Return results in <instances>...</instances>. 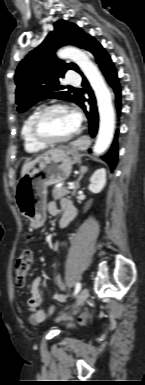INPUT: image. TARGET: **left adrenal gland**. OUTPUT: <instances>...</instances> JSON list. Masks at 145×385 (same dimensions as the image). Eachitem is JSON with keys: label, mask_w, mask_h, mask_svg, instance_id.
<instances>
[{"label": "left adrenal gland", "mask_w": 145, "mask_h": 385, "mask_svg": "<svg viewBox=\"0 0 145 385\" xmlns=\"http://www.w3.org/2000/svg\"><path fill=\"white\" fill-rule=\"evenodd\" d=\"M87 172V167L86 166H81L80 167V175H79V178L77 179L76 183H75V188L72 192V196L75 195L77 189L79 188V183H80V180L83 178L84 174Z\"/></svg>", "instance_id": "left-adrenal-gland-1"}]
</instances>
